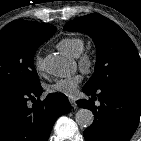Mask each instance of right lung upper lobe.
I'll list each match as a JSON object with an SVG mask.
<instances>
[{
    "label": "right lung upper lobe",
    "mask_w": 141,
    "mask_h": 141,
    "mask_svg": "<svg viewBox=\"0 0 141 141\" xmlns=\"http://www.w3.org/2000/svg\"><path fill=\"white\" fill-rule=\"evenodd\" d=\"M13 22H18V23L25 24V25H27L29 27H32V28H34L36 30L42 31L44 33H47L48 35H51V36L56 31L55 27L46 26V25L39 24V23L32 22V21L16 20V21H13Z\"/></svg>",
    "instance_id": "cb5924a9"
}]
</instances>
